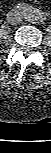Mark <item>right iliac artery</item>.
Masks as SVG:
<instances>
[{
    "mask_svg": "<svg viewBox=\"0 0 51 153\" xmlns=\"http://www.w3.org/2000/svg\"><path fill=\"white\" fill-rule=\"evenodd\" d=\"M17 9H19V10H26V11H28L29 10V6L27 5V4H25V3H19V4H17L16 6H15Z\"/></svg>",
    "mask_w": 51,
    "mask_h": 153,
    "instance_id": "1",
    "label": "right iliac artery"
}]
</instances>
